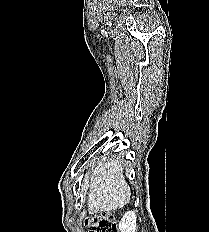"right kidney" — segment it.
<instances>
[{"instance_id":"ca27d5eb","label":"right kidney","mask_w":209,"mask_h":232,"mask_svg":"<svg viewBox=\"0 0 209 232\" xmlns=\"http://www.w3.org/2000/svg\"><path fill=\"white\" fill-rule=\"evenodd\" d=\"M137 228L135 211L126 212L119 222L120 232H135Z\"/></svg>"}]
</instances>
